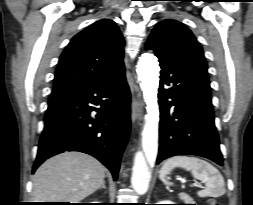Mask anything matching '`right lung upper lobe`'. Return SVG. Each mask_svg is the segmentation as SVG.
<instances>
[{
  "label": "right lung upper lobe",
  "mask_w": 253,
  "mask_h": 205,
  "mask_svg": "<svg viewBox=\"0 0 253 205\" xmlns=\"http://www.w3.org/2000/svg\"><path fill=\"white\" fill-rule=\"evenodd\" d=\"M124 39L110 19L72 38L60 56L52 94L99 83L124 70Z\"/></svg>",
  "instance_id": "obj_1"
}]
</instances>
